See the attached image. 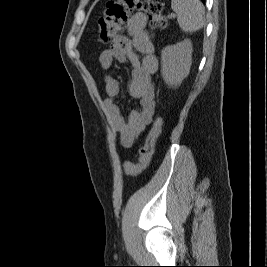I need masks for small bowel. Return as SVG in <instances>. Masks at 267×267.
Here are the masks:
<instances>
[{"instance_id": "1", "label": "small bowel", "mask_w": 267, "mask_h": 267, "mask_svg": "<svg viewBox=\"0 0 267 267\" xmlns=\"http://www.w3.org/2000/svg\"><path fill=\"white\" fill-rule=\"evenodd\" d=\"M146 25V15L135 13L127 23L128 35L116 36L110 47L99 56L100 65L106 71L111 69L114 61L129 62L132 67L127 92L132 98L139 100V108L131 111L126 118L116 101L120 93V83L111 74L105 76V113L113 130L119 133L120 143L124 148L133 146L135 140L152 122L155 111L152 76L158 69V59ZM138 53L143 55L142 59Z\"/></svg>"}]
</instances>
